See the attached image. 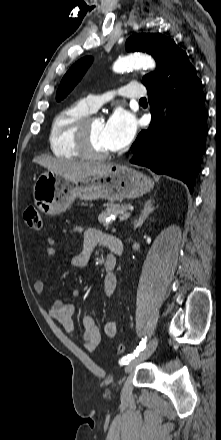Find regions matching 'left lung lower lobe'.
<instances>
[{
    "label": "left lung lower lobe",
    "instance_id": "obj_1",
    "mask_svg": "<svg viewBox=\"0 0 221 440\" xmlns=\"http://www.w3.org/2000/svg\"><path fill=\"white\" fill-rule=\"evenodd\" d=\"M146 88L152 120L131 146L134 157L130 162L178 178L192 192L205 152L208 112L201 81L187 54L182 50L172 53ZM163 106L166 122L160 114Z\"/></svg>",
    "mask_w": 221,
    "mask_h": 440
}]
</instances>
